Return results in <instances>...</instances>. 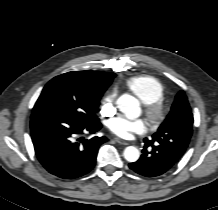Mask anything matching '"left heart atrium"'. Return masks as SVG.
Here are the masks:
<instances>
[{"instance_id":"1","label":"left heart atrium","mask_w":218,"mask_h":210,"mask_svg":"<svg viewBox=\"0 0 218 210\" xmlns=\"http://www.w3.org/2000/svg\"><path fill=\"white\" fill-rule=\"evenodd\" d=\"M148 125L144 119L115 118L110 122V130L117 136L130 139L134 134H143Z\"/></svg>"}]
</instances>
